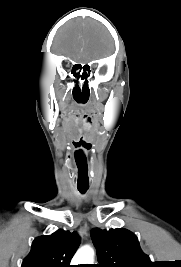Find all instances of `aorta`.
I'll list each match as a JSON object with an SVG mask.
<instances>
[{"label": "aorta", "mask_w": 181, "mask_h": 267, "mask_svg": "<svg viewBox=\"0 0 181 267\" xmlns=\"http://www.w3.org/2000/svg\"><path fill=\"white\" fill-rule=\"evenodd\" d=\"M94 250L91 246L85 245L81 247L72 259L74 265L93 264Z\"/></svg>", "instance_id": "obj_1"}]
</instances>
